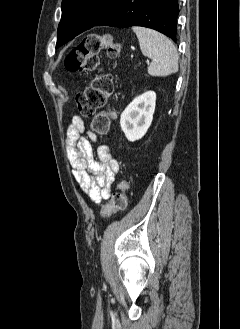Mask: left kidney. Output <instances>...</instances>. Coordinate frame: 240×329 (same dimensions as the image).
Returning <instances> with one entry per match:
<instances>
[{"mask_svg": "<svg viewBox=\"0 0 240 329\" xmlns=\"http://www.w3.org/2000/svg\"><path fill=\"white\" fill-rule=\"evenodd\" d=\"M156 105V93L148 91L136 97L123 111L120 126L126 138L133 142L141 139L150 127Z\"/></svg>", "mask_w": 240, "mask_h": 329, "instance_id": "left-kidney-1", "label": "left kidney"}]
</instances>
